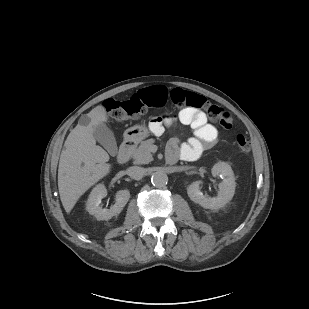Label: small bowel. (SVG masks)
I'll list each match as a JSON object with an SVG mask.
<instances>
[{
    "mask_svg": "<svg viewBox=\"0 0 309 309\" xmlns=\"http://www.w3.org/2000/svg\"><path fill=\"white\" fill-rule=\"evenodd\" d=\"M178 119L181 123L189 125L193 129V137L188 143L180 145L177 139H171L167 148L168 162L174 163L179 158H193L200 155L204 150L212 147L217 140V129L208 123L202 111L186 108L179 112ZM175 122L173 116L165 115L152 121L154 131H160L163 124L171 126Z\"/></svg>",
    "mask_w": 309,
    "mask_h": 309,
    "instance_id": "small-bowel-1",
    "label": "small bowel"
}]
</instances>
